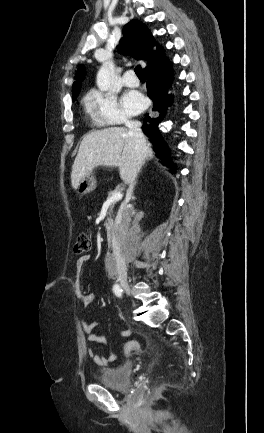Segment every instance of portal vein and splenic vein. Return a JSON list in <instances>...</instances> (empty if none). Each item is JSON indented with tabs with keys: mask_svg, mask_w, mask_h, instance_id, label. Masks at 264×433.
I'll use <instances>...</instances> for the list:
<instances>
[{
	"mask_svg": "<svg viewBox=\"0 0 264 433\" xmlns=\"http://www.w3.org/2000/svg\"><path fill=\"white\" fill-rule=\"evenodd\" d=\"M123 197V194L121 192H115L112 194L111 197H109V201L114 202V201H119L121 200Z\"/></svg>",
	"mask_w": 264,
	"mask_h": 433,
	"instance_id": "portal-vein-and-splenic-vein-1",
	"label": "portal vein and splenic vein"
}]
</instances>
